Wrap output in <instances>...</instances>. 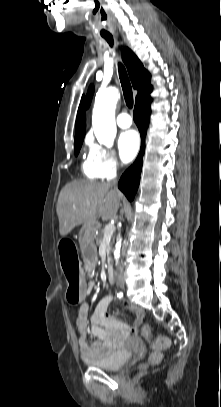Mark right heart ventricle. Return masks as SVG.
I'll list each match as a JSON object with an SVG mask.
<instances>
[{
  "instance_id": "1",
  "label": "right heart ventricle",
  "mask_w": 221,
  "mask_h": 407,
  "mask_svg": "<svg viewBox=\"0 0 221 407\" xmlns=\"http://www.w3.org/2000/svg\"><path fill=\"white\" fill-rule=\"evenodd\" d=\"M83 171L90 179H99V175L93 170L89 158L83 163Z\"/></svg>"
}]
</instances>
